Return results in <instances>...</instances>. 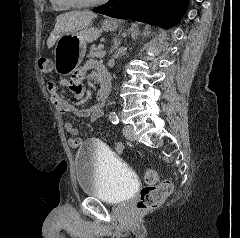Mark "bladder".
Returning <instances> with one entry per match:
<instances>
[{"label": "bladder", "instance_id": "obj_1", "mask_svg": "<svg viewBox=\"0 0 240 238\" xmlns=\"http://www.w3.org/2000/svg\"><path fill=\"white\" fill-rule=\"evenodd\" d=\"M74 162L77 183L84 195L110 204H121L133 196L135 175L106 146L85 142L77 150Z\"/></svg>", "mask_w": 240, "mask_h": 238}]
</instances>
